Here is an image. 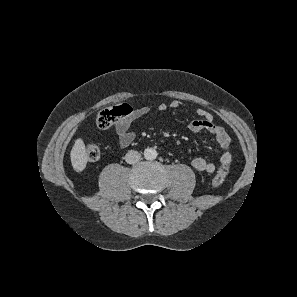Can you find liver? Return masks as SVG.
<instances>
[{
    "label": "liver",
    "instance_id": "obj_1",
    "mask_svg": "<svg viewBox=\"0 0 297 297\" xmlns=\"http://www.w3.org/2000/svg\"><path fill=\"white\" fill-rule=\"evenodd\" d=\"M71 163L75 171L80 172L84 170L88 161V154L85 144L81 138L75 141V144L70 153Z\"/></svg>",
    "mask_w": 297,
    "mask_h": 297
}]
</instances>
